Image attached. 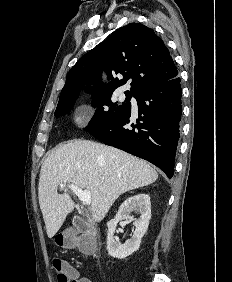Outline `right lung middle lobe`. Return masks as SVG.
<instances>
[{
  "label": "right lung middle lobe",
  "mask_w": 232,
  "mask_h": 282,
  "mask_svg": "<svg viewBox=\"0 0 232 282\" xmlns=\"http://www.w3.org/2000/svg\"><path fill=\"white\" fill-rule=\"evenodd\" d=\"M113 91H104L92 93L93 106L98 107L89 125L85 128L87 131H92L100 128L111 120L126 113L131 108L130 99L134 94L125 92L126 99L122 104H115L111 101ZM79 94H74L64 98L58 102L55 116L65 115L74 106L75 100Z\"/></svg>",
  "instance_id": "right-lung-middle-lobe-1"
}]
</instances>
